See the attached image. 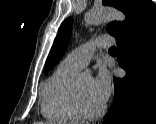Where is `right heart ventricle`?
<instances>
[{"instance_id": "1", "label": "right heart ventricle", "mask_w": 156, "mask_h": 124, "mask_svg": "<svg viewBox=\"0 0 156 124\" xmlns=\"http://www.w3.org/2000/svg\"><path fill=\"white\" fill-rule=\"evenodd\" d=\"M79 68L60 63L43 86L41 94L42 115L52 123L74 124L80 117L72 102V87Z\"/></svg>"}]
</instances>
